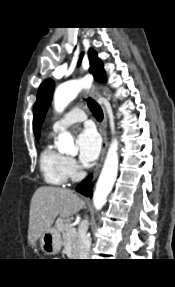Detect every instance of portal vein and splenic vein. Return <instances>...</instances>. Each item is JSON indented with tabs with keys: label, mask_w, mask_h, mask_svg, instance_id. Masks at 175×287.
<instances>
[{
	"label": "portal vein and splenic vein",
	"mask_w": 175,
	"mask_h": 287,
	"mask_svg": "<svg viewBox=\"0 0 175 287\" xmlns=\"http://www.w3.org/2000/svg\"><path fill=\"white\" fill-rule=\"evenodd\" d=\"M75 232H76V229L73 227L67 232V234L71 235V234H74Z\"/></svg>",
	"instance_id": "obj_1"
}]
</instances>
